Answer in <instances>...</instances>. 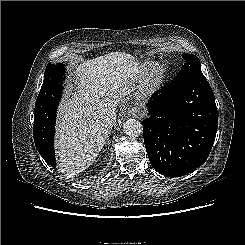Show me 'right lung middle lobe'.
<instances>
[{
  "instance_id": "obj_1",
  "label": "right lung middle lobe",
  "mask_w": 245,
  "mask_h": 245,
  "mask_svg": "<svg viewBox=\"0 0 245 245\" xmlns=\"http://www.w3.org/2000/svg\"><path fill=\"white\" fill-rule=\"evenodd\" d=\"M64 64L48 63L44 81L35 103V118L51 119L56 116V109L61 99L62 82L65 79Z\"/></svg>"
}]
</instances>
